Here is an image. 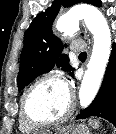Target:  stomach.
I'll return each instance as SVG.
<instances>
[{
    "label": "stomach",
    "mask_w": 116,
    "mask_h": 134,
    "mask_svg": "<svg viewBox=\"0 0 116 134\" xmlns=\"http://www.w3.org/2000/svg\"><path fill=\"white\" fill-rule=\"evenodd\" d=\"M89 130L85 125L69 126L67 128H60L56 130L55 134H88ZM45 134H52V132H47Z\"/></svg>",
    "instance_id": "0dacf381"
}]
</instances>
